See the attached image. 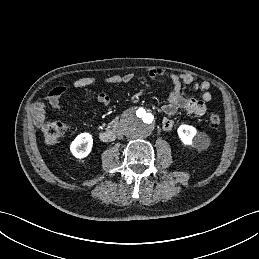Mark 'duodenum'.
<instances>
[{
	"label": "duodenum",
	"mask_w": 259,
	"mask_h": 259,
	"mask_svg": "<svg viewBox=\"0 0 259 259\" xmlns=\"http://www.w3.org/2000/svg\"><path fill=\"white\" fill-rule=\"evenodd\" d=\"M120 132L118 119H114L110 122L108 128L100 132V139L104 142L114 141L117 134Z\"/></svg>",
	"instance_id": "duodenum-1"
}]
</instances>
